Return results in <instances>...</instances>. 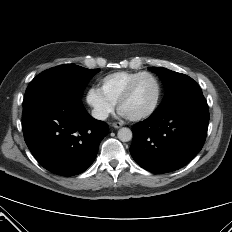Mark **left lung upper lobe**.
<instances>
[{"instance_id": "obj_1", "label": "left lung upper lobe", "mask_w": 232, "mask_h": 232, "mask_svg": "<svg viewBox=\"0 0 232 232\" xmlns=\"http://www.w3.org/2000/svg\"><path fill=\"white\" fill-rule=\"evenodd\" d=\"M149 69L155 72L162 79L163 85L166 89L164 98L157 109L167 106L169 103L189 92L200 89L197 82L185 74L161 67H150Z\"/></svg>"}]
</instances>
